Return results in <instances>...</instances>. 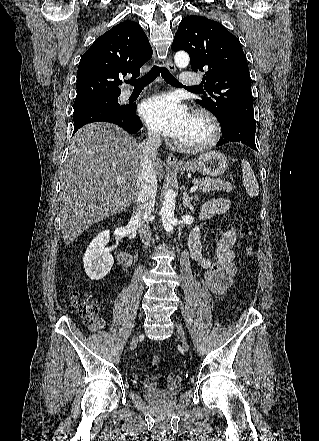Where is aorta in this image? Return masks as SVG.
Instances as JSON below:
<instances>
[{
    "instance_id": "1",
    "label": "aorta",
    "mask_w": 319,
    "mask_h": 441,
    "mask_svg": "<svg viewBox=\"0 0 319 441\" xmlns=\"http://www.w3.org/2000/svg\"><path fill=\"white\" fill-rule=\"evenodd\" d=\"M174 61L179 68H185L188 66L190 58L186 51L181 50L176 52ZM175 197V192L172 189H169L166 192L161 209L162 223L167 233H172L176 224V219L174 217Z\"/></svg>"
}]
</instances>
